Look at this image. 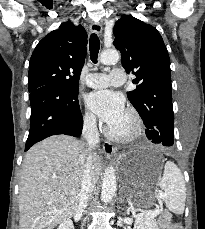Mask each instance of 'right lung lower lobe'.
<instances>
[{
  "mask_svg": "<svg viewBox=\"0 0 205 229\" xmlns=\"http://www.w3.org/2000/svg\"><path fill=\"white\" fill-rule=\"evenodd\" d=\"M31 125L25 151L55 134L80 136L83 118L78 92L60 85H46L30 92Z\"/></svg>",
  "mask_w": 205,
  "mask_h": 229,
  "instance_id": "right-lung-lower-lobe-1",
  "label": "right lung lower lobe"
}]
</instances>
